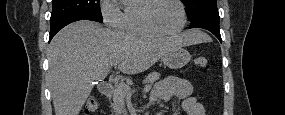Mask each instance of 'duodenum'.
<instances>
[{"instance_id":"obj_1","label":"duodenum","mask_w":285,"mask_h":115,"mask_svg":"<svg viewBox=\"0 0 285 115\" xmlns=\"http://www.w3.org/2000/svg\"><path fill=\"white\" fill-rule=\"evenodd\" d=\"M113 90V84L110 82H104L99 86V92L101 95L106 96L110 94Z\"/></svg>"}]
</instances>
